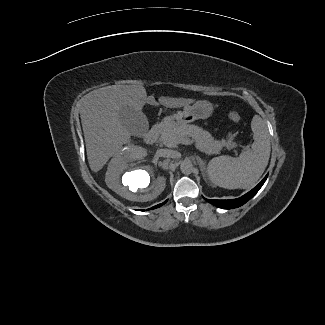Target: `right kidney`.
Here are the masks:
<instances>
[{
  "instance_id": "right-kidney-1",
  "label": "right kidney",
  "mask_w": 325,
  "mask_h": 325,
  "mask_svg": "<svg viewBox=\"0 0 325 325\" xmlns=\"http://www.w3.org/2000/svg\"><path fill=\"white\" fill-rule=\"evenodd\" d=\"M105 181L121 197L137 202L151 201L165 189V178L157 176L153 168L128 147L112 158Z\"/></svg>"
}]
</instances>
